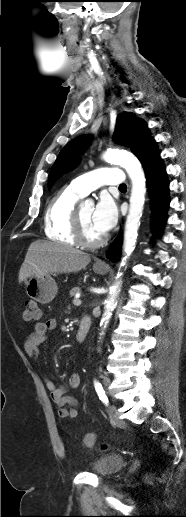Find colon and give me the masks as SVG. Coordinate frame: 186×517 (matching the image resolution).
<instances>
[{
	"instance_id": "1",
	"label": "colon",
	"mask_w": 186,
	"mask_h": 517,
	"mask_svg": "<svg viewBox=\"0 0 186 517\" xmlns=\"http://www.w3.org/2000/svg\"><path fill=\"white\" fill-rule=\"evenodd\" d=\"M23 318L27 321L37 320L40 318L39 307L35 301H33V300L26 301ZM93 440H94V434L89 433V434L85 435L82 443L85 447H88L93 444Z\"/></svg>"
}]
</instances>
